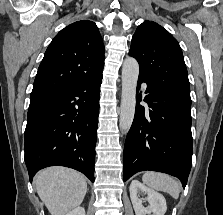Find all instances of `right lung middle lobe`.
I'll list each match as a JSON object with an SVG mask.
<instances>
[{
  "mask_svg": "<svg viewBox=\"0 0 223 215\" xmlns=\"http://www.w3.org/2000/svg\"><path fill=\"white\" fill-rule=\"evenodd\" d=\"M46 97H48V96H31L30 101H35V100L43 99Z\"/></svg>",
  "mask_w": 223,
  "mask_h": 215,
  "instance_id": "right-lung-middle-lobe-1",
  "label": "right lung middle lobe"
}]
</instances>
